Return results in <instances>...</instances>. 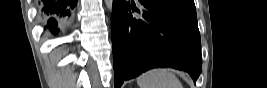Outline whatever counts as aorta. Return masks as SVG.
<instances>
[{"label":"aorta","instance_id":"762f6f07","mask_svg":"<svg viewBox=\"0 0 267 88\" xmlns=\"http://www.w3.org/2000/svg\"><path fill=\"white\" fill-rule=\"evenodd\" d=\"M105 4L107 9L112 12V8H113V1L112 0H105Z\"/></svg>","mask_w":267,"mask_h":88}]
</instances>
